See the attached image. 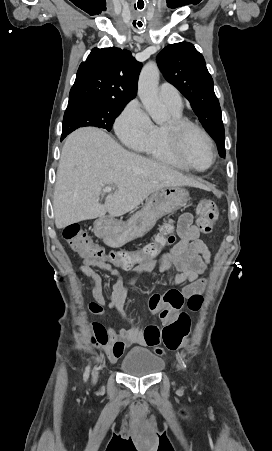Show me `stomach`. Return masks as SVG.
<instances>
[{
  "label": "stomach",
  "instance_id": "0dacf381",
  "mask_svg": "<svg viewBox=\"0 0 272 451\" xmlns=\"http://www.w3.org/2000/svg\"><path fill=\"white\" fill-rule=\"evenodd\" d=\"M189 200V192L183 186H171L156 190L147 198L142 210L131 216L127 222H116L114 226L107 227L103 237L104 243L109 247H121L131 239L142 237L157 220L184 208Z\"/></svg>",
  "mask_w": 272,
  "mask_h": 451
}]
</instances>
